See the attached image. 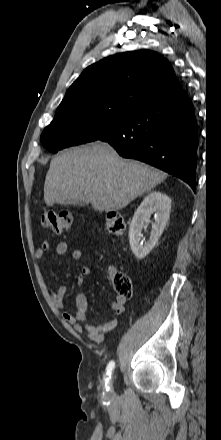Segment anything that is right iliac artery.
Here are the masks:
<instances>
[{"mask_svg": "<svg viewBox=\"0 0 221 440\" xmlns=\"http://www.w3.org/2000/svg\"><path fill=\"white\" fill-rule=\"evenodd\" d=\"M114 367H115V362L114 361H110L109 364L107 365L106 377L104 378L105 386H106V391L110 390V387L108 386V384L110 382L111 374H112V371H113Z\"/></svg>", "mask_w": 221, "mask_h": 440, "instance_id": "obj_1", "label": "right iliac artery"}]
</instances>
